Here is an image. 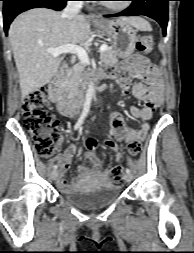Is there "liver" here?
<instances>
[{"mask_svg":"<svg viewBox=\"0 0 194 253\" xmlns=\"http://www.w3.org/2000/svg\"><path fill=\"white\" fill-rule=\"evenodd\" d=\"M123 21L141 31L151 26L141 17H123ZM90 36V25L83 15L72 20L47 8H35L20 14L9 28V38L20 77L22 97L43 87L57 74L60 57L47 52L66 44H78Z\"/></svg>","mask_w":194,"mask_h":253,"instance_id":"liver-1","label":"liver"}]
</instances>
